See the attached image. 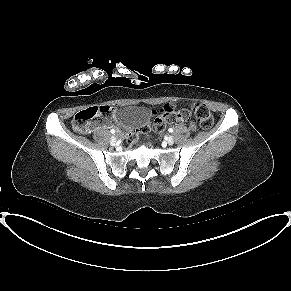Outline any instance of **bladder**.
<instances>
[{
  "label": "bladder",
  "instance_id": "31cf9c89",
  "mask_svg": "<svg viewBox=\"0 0 291 291\" xmlns=\"http://www.w3.org/2000/svg\"><path fill=\"white\" fill-rule=\"evenodd\" d=\"M148 116V110L145 107L129 105L119 109L116 120L119 126L132 128L142 124Z\"/></svg>",
  "mask_w": 291,
  "mask_h": 291
}]
</instances>
